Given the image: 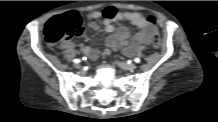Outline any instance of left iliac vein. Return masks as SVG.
Listing matches in <instances>:
<instances>
[{"label": "left iliac vein", "mask_w": 218, "mask_h": 122, "mask_svg": "<svg viewBox=\"0 0 218 122\" xmlns=\"http://www.w3.org/2000/svg\"><path fill=\"white\" fill-rule=\"evenodd\" d=\"M116 63L118 66H120L124 70L133 71L137 68L136 64H133V63L128 64V63H124V62H120V61H117Z\"/></svg>", "instance_id": "obj_1"}]
</instances>
